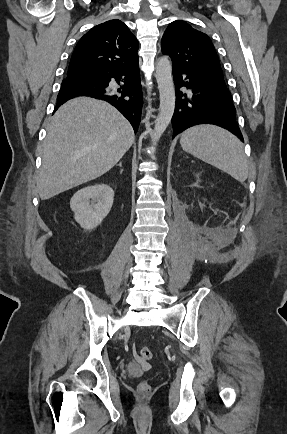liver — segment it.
Masks as SVG:
<instances>
[{"mask_svg":"<svg viewBox=\"0 0 287 434\" xmlns=\"http://www.w3.org/2000/svg\"><path fill=\"white\" fill-rule=\"evenodd\" d=\"M127 119L109 103L77 97L50 119L37 179L41 200L108 172L134 143Z\"/></svg>","mask_w":287,"mask_h":434,"instance_id":"6515ba94","label":"liver"}]
</instances>
